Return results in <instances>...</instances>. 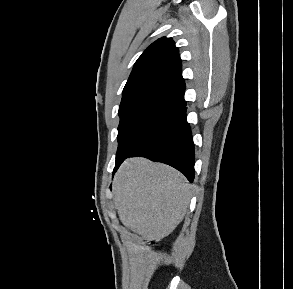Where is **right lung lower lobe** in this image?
<instances>
[{
  "instance_id": "right-lung-lower-lobe-1",
  "label": "right lung lower lobe",
  "mask_w": 293,
  "mask_h": 289,
  "mask_svg": "<svg viewBox=\"0 0 293 289\" xmlns=\"http://www.w3.org/2000/svg\"><path fill=\"white\" fill-rule=\"evenodd\" d=\"M134 155L168 164L193 182L195 154L191 129L186 120V105L155 123L125 150L117 152L113 174L124 159Z\"/></svg>"
}]
</instances>
